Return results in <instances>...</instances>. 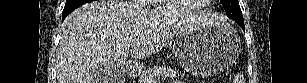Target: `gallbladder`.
I'll return each mask as SVG.
<instances>
[{"instance_id": "1", "label": "gallbladder", "mask_w": 307, "mask_h": 83, "mask_svg": "<svg viewBox=\"0 0 307 83\" xmlns=\"http://www.w3.org/2000/svg\"><path fill=\"white\" fill-rule=\"evenodd\" d=\"M123 76L122 70L119 68L99 67L92 75L94 83H120Z\"/></svg>"}]
</instances>
